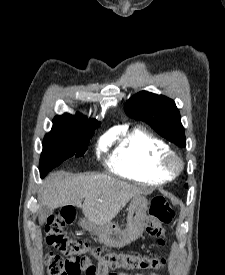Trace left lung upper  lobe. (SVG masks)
Wrapping results in <instances>:
<instances>
[{
	"label": "left lung upper lobe",
	"mask_w": 225,
	"mask_h": 275,
	"mask_svg": "<svg viewBox=\"0 0 225 275\" xmlns=\"http://www.w3.org/2000/svg\"><path fill=\"white\" fill-rule=\"evenodd\" d=\"M124 109L127 115L145 121L167 140L186 146L179 110L172 99L142 91L131 97Z\"/></svg>",
	"instance_id": "5c2ea615"
}]
</instances>
